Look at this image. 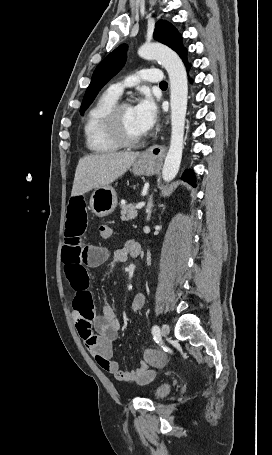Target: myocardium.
<instances>
[{"label":"myocardium","instance_id":"obj_1","mask_svg":"<svg viewBox=\"0 0 272 455\" xmlns=\"http://www.w3.org/2000/svg\"><path fill=\"white\" fill-rule=\"evenodd\" d=\"M131 106L129 102L120 101L115 103L105 116V129L109 138L119 147L132 148L140 145L144 135L138 138H129L125 135L122 127V111Z\"/></svg>","mask_w":272,"mask_h":455}]
</instances>
